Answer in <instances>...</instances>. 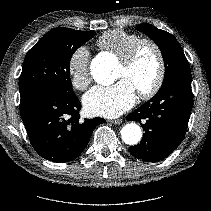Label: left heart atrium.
Returning a JSON list of instances; mask_svg holds the SVG:
<instances>
[{
  "label": "left heart atrium",
  "mask_w": 211,
  "mask_h": 211,
  "mask_svg": "<svg viewBox=\"0 0 211 211\" xmlns=\"http://www.w3.org/2000/svg\"><path fill=\"white\" fill-rule=\"evenodd\" d=\"M137 99L133 85L122 79L109 86H95L83 97L85 111L92 116L113 118L131 108Z\"/></svg>",
  "instance_id": "left-heart-atrium-1"
}]
</instances>
